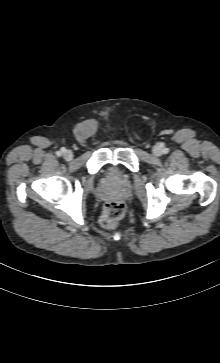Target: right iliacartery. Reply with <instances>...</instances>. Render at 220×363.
<instances>
[{
    "label": "right iliac artery",
    "mask_w": 220,
    "mask_h": 363,
    "mask_svg": "<svg viewBox=\"0 0 220 363\" xmlns=\"http://www.w3.org/2000/svg\"><path fill=\"white\" fill-rule=\"evenodd\" d=\"M62 152H65V149H64V148H62V149H61V151H58V152L56 153V154H57V156H60Z\"/></svg>",
    "instance_id": "1"
}]
</instances>
